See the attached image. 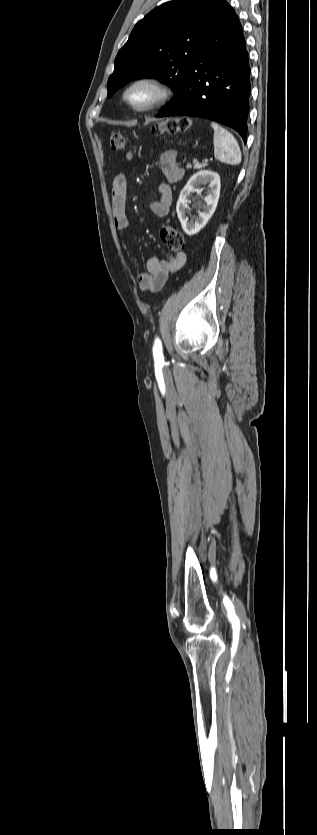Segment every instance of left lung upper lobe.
<instances>
[{
    "mask_svg": "<svg viewBox=\"0 0 317 835\" xmlns=\"http://www.w3.org/2000/svg\"><path fill=\"white\" fill-rule=\"evenodd\" d=\"M225 0H174L148 13L132 30L114 62L107 97L132 79L154 77L177 99L187 73L220 18Z\"/></svg>",
    "mask_w": 317,
    "mask_h": 835,
    "instance_id": "1",
    "label": "left lung upper lobe"
}]
</instances>
